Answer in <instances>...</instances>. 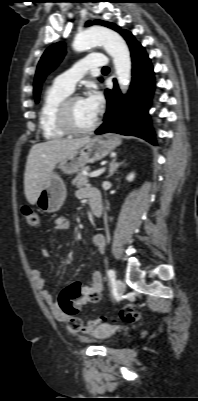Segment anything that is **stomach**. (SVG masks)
<instances>
[{"label": "stomach", "mask_w": 198, "mask_h": 401, "mask_svg": "<svg viewBox=\"0 0 198 401\" xmlns=\"http://www.w3.org/2000/svg\"><path fill=\"white\" fill-rule=\"evenodd\" d=\"M121 144L117 135L97 136L89 140L70 157L60 161L58 168L65 174L78 172L89 162L101 160ZM67 196L66 185L61 177L52 172L37 199V206L47 213L60 210Z\"/></svg>", "instance_id": "1"}]
</instances>
